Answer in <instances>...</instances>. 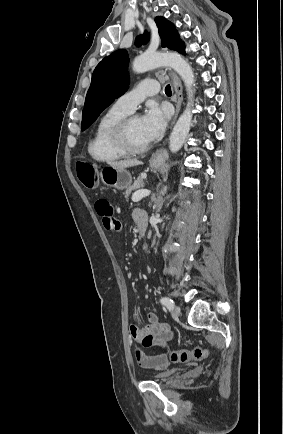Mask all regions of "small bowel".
I'll use <instances>...</instances> for the list:
<instances>
[{
    "instance_id": "small-bowel-1",
    "label": "small bowel",
    "mask_w": 283,
    "mask_h": 434,
    "mask_svg": "<svg viewBox=\"0 0 283 434\" xmlns=\"http://www.w3.org/2000/svg\"><path fill=\"white\" fill-rule=\"evenodd\" d=\"M95 211L102 217L104 227L109 231H119L121 223L114 217V210L111 203L105 198H99L95 201ZM136 223L146 221V215L141 210L134 212ZM147 323L143 327L133 324L130 326V334L134 341L140 343L145 348L153 346L165 349L173 335L169 327L160 322L157 316L150 312L146 314ZM136 358L138 363L149 369H163L169 365V360L166 353H158L148 355L142 350H136Z\"/></svg>"
}]
</instances>
